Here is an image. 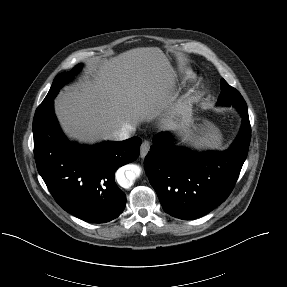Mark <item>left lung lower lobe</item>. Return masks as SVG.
I'll list each match as a JSON object with an SVG mask.
<instances>
[{"label": "left lung lower lobe", "instance_id": "1", "mask_svg": "<svg viewBox=\"0 0 287 287\" xmlns=\"http://www.w3.org/2000/svg\"><path fill=\"white\" fill-rule=\"evenodd\" d=\"M236 109L242 116V126L227 150L196 152L176 146L167 132L153 137L145 171L169 215L184 220L201 217L231 193L251 138L247 106Z\"/></svg>", "mask_w": 287, "mask_h": 287}]
</instances>
